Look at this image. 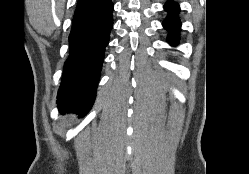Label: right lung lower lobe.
<instances>
[{
	"mask_svg": "<svg viewBox=\"0 0 249 174\" xmlns=\"http://www.w3.org/2000/svg\"><path fill=\"white\" fill-rule=\"evenodd\" d=\"M111 0H94L75 10L57 104L61 113L83 117L92 107L105 47L113 25Z\"/></svg>",
	"mask_w": 249,
	"mask_h": 174,
	"instance_id": "obj_1",
	"label": "right lung lower lobe"
}]
</instances>
